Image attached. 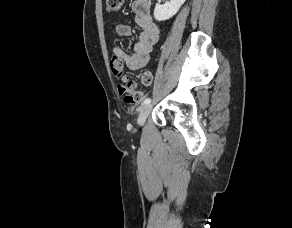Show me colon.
<instances>
[{
  "label": "colon",
  "instance_id": "5ec220e1",
  "mask_svg": "<svg viewBox=\"0 0 292 228\" xmlns=\"http://www.w3.org/2000/svg\"><path fill=\"white\" fill-rule=\"evenodd\" d=\"M124 0H106V7L108 11L116 12L121 9ZM110 66L114 75L119 78L117 84L120 95L124 97V101L128 104H139L143 98L142 92L138 89V84L129 79L124 72L122 62L116 58L110 60ZM152 82V75L146 71L141 75L140 84L149 86Z\"/></svg>",
  "mask_w": 292,
  "mask_h": 228
}]
</instances>
